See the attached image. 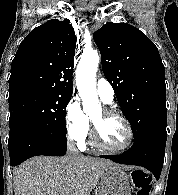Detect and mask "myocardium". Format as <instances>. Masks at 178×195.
<instances>
[{
    "mask_svg": "<svg viewBox=\"0 0 178 195\" xmlns=\"http://www.w3.org/2000/svg\"><path fill=\"white\" fill-rule=\"evenodd\" d=\"M102 111L105 117L116 118V119H119L121 122H123L128 132V141L126 142L125 145L121 147H112V146L105 144L103 140L101 139V136L99 133V126L92 120V139H93L94 144L110 152H123V151L128 150L134 142V131H133L131 124L122 114H120L119 112H117L116 110L112 108H104Z\"/></svg>",
    "mask_w": 178,
    "mask_h": 195,
    "instance_id": "myocardium-1",
    "label": "myocardium"
}]
</instances>
